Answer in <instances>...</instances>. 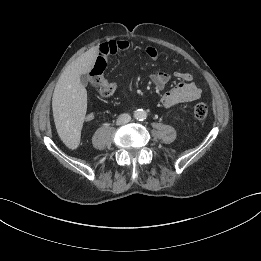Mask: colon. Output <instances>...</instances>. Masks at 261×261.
Masks as SVG:
<instances>
[{
    "label": "colon",
    "instance_id": "obj_1",
    "mask_svg": "<svg viewBox=\"0 0 261 261\" xmlns=\"http://www.w3.org/2000/svg\"><path fill=\"white\" fill-rule=\"evenodd\" d=\"M105 67L102 64H96L91 72L90 86L94 88L101 96H109L112 93V88L107 80L103 77ZM208 114L206 103L200 102L194 107V116L198 120H203Z\"/></svg>",
    "mask_w": 261,
    "mask_h": 261
}]
</instances>
